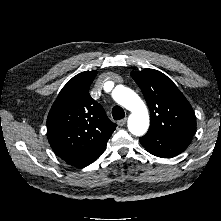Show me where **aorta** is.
<instances>
[{"instance_id": "obj_1", "label": "aorta", "mask_w": 221, "mask_h": 221, "mask_svg": "<svg viewBox=\"0 0 221 221\" xmlns=\"http://www.w3.org/2000/svg\"><path fill=\"white\" fill-rule=\"evenodd\" d=\"M112 98L131 112L128 129L135 136L144 135L149 128V114L142 99L131 89L119 85L112 92Z\"/></svg>"}]
</instances>
